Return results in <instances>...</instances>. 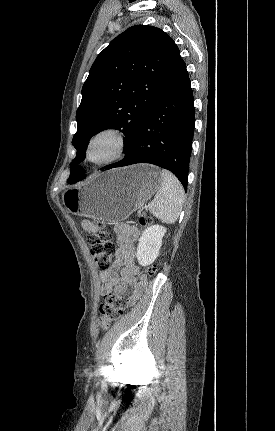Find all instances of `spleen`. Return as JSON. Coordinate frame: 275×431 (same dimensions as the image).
I'll return each instance as SVG.
<instances>
[{
  "mask_svg": "<svg viewBox=\"0 0 275 431\" xmlns=\"http://www.w3.org/2000/svg\"><path fill=\"white\" fill-rule=\"evenodd\" d=\"M162 183L149 211L158 219L172 224L177 221L182 210L184 190L179 180L169 171H161Z\"/></svg>",
  "mask_w": 275,
  "mask_h": 431,
  "instance_id": "obj_1",
  "label": "spleen"
}]
</instances>
